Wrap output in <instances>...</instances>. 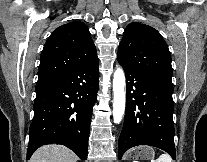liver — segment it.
I'll use <instances>...</instances> for the list:
<instances>
[{"label": "liver", "instance_id": "1", "mask_svg": "<svg viewBox=\"0 0 207 162\" xmlns=\"http://www.w3.org/2000/svg\"><path fill=\"white\" fill-rule=\"evenodd\" d=\"M78 157L67 147L47 144L37 149L29 162H76Z\"/></svg>", "mask_w": 207, "mask_h": 162}]
</instances>
